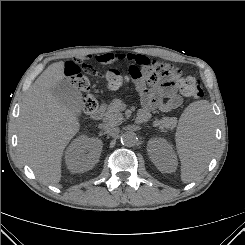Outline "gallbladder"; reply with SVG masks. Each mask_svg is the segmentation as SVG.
<instances>
[{"label": "gallbladder", "instance_id": "bac80fb5", "mask_svg": "<svg viewBox=\"0 0 245 245\" xmlns=\"http://www.w3.org/2000/svg\"><path fill=\"white\" fill-rule=\"evenodd\" d=\"M51 91L59 103L69 108L75 114L81 111L82 94L69 79L59 81Z\"/></svg>", "mask_w": 245, "mask_h": 245}]
</instances>
